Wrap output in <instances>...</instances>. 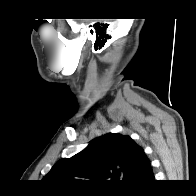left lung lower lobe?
I'll use <instances>...</instances> for the list:
<instances>
[{
    "instance_id": "left-lung-lower-lobe-1",
    "label": "left lung lower lobe",
    "mask_w": 196,
    "mask_h": 196,
    "mask_svg": "<svg viewBox=\"0 0 196 196\" xmlns=\"http://www.w3.org/2000/svg\"><path fill=\"white\" fill-rule=\"evenodd\" d=\"M151 182H154V174L151 165L149 164L138 186H142L144 184L151 183Z\"/></svg>"
}]
</instances>
